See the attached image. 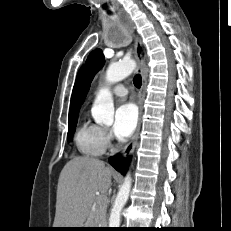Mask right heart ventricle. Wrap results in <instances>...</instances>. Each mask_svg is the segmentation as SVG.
Returning <instances> with one entry per match:
<instances>
[{
    "instance_id": "right-heart-ventricle-1",
    "label": "right heart ventricle",
    "mask_w": 231,
    "mask_h": 231,
    "mask_svg": "<svg viewBox=\"0 0 231 231\" xmlns=\"http://www.w3.org/2000/svg\"><path fill=\"white\" fill-rule=\"evenodd\" d=\"M102 128L88 120H84L75 134V144L85 156H100L106 149L102 138Z\"/></svg>"
}]
</instances>
